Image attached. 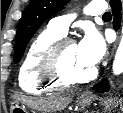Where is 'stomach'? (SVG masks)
Masks as SVG:
<instances>
[{
	"label": "stomach",
	"instance_id": "obj_1",
	"mask_svg": "<svg viewBox=\"0 0 123 113\" xmlns=\"http://www.w3.org/2000/svg\"><path fill=\"white\" fill-rule=\"evenodd\" d=\"M93 99L94 98L92 96L87 95H79L78 97V101L83 107L89 106L92 103ZM10 111L11 113H28L27 110L16 101L10 102Z\"/></svg>",
	"mask_w": 123,
	"mask_h": 113
}]
</instances>
